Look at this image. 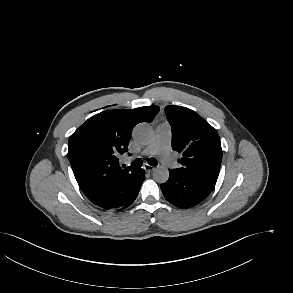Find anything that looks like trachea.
Listing matches in <instances>:
<instances>
[{"label":"trachea","instance_id":"trachea-1","mask_svg":"<svg viewBox=\"0 0 293 293\" xmlns=\"http://www.w3.org/2000/svg\"><path fill=\"white\" fill-rule=\"evenodd\" d=\"M143 164V161L141 158H137L132 164L131 166L134 167V168H140ZM148 164L151 165V166H157L158 165V162L155 158H150L148 159Z\"/></svg>","mask_w":293,"mask_h":293}]
</instances>
